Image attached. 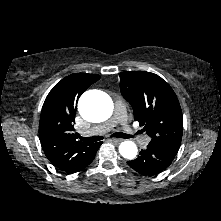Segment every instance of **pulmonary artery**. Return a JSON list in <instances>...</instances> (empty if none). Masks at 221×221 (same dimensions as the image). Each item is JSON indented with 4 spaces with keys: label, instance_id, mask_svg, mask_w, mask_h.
Here are the masks:
<instances>
[{
    "label": "pulmonary artery",
    "instance_id": "pulmonary-artery-1",
    "mask_svg": "<svg viewBox=\"0 0 221 221\" xmlns=\"http://www.w3.org/2000/svg\"><path fill=\"white\" fill-rule=\"evenodd\" d=\"M126 120H127V117H126L124 104L121 100H118L115 103V112H114L113 117L109 119L107 122H105L104 124L96 127L93 130V133L101 134V133L108 132L111 129H113L117 124H121L122 129L126 133H133L134 132L133 128L129 126L128 124H126ZM148 143H149L148 136L140 137V144L142 146H146Z\"/></svg>",
    "mask_w": 221,
    "mask_h": 221
}]
</instances>
